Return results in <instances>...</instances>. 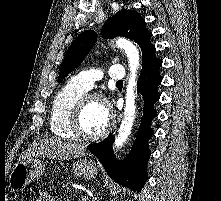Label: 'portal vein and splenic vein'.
<instances>
[{"label": "portal vein and splenic vein", "instance_id": "obj_1", "mask_svg": "<svg viewBox=\"0 0 221 201\" xmlns=\"http://www.w3.org/2000/svg\"><path fill=\"white\" fill-rule=\"evenodd\" d=\"M82 201H88V197L86 196H81Z\"/></svg>", "mask_w": 221, "mask_h": 201}]
</instances>
